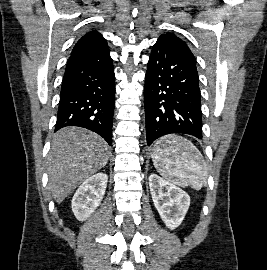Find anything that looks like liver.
Returning a JSON list of instances; mask_svg holds the SVG:
<instances>
[{"mask_svg":"<svg viewBox=\"0 0 267 270\" xmlns=\"http://www.w3.org/2000/svg\"><path fill=\"white\" fill-rule=\"evenodd\" d=\"M110 148L99 135L78 127H66L53 137L47 161L49 190L61 203L85 179L103 168Z\"/></svg>","mask_w":267,"mask_h":270,"instance_id":"1","label":"liver"}]
</instances>
